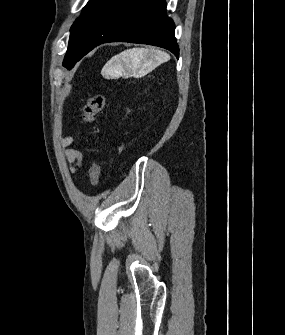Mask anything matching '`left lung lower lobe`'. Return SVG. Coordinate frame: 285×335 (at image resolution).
I'll list each match as a JSON object with an SVG mask.
<instances>
[{"label":"left lung lower lobe","mask_w":285,"mask_h":335,"mask_svg":"<svg viewBox=\"0 0 285 335\" xmlns=\"http://www.w3.org/2000/svg\"><path fill=\"white\" fill-rule=\"evenodd\" d=\"M107 42L159 46L179 58L175 24L166 14L165 0H111L85 34L80 59Z\"/></svg>","instance_id":"obj_1"}]
</instances>
